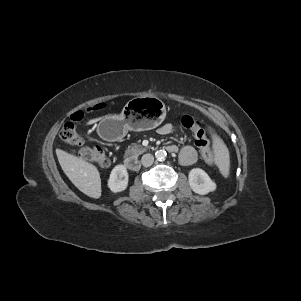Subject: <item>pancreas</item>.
Returning a JSON list of instances; mask_svg holds the SVG:
<instances>
[{"label": "pancreas", "instance_id": "obj_1", "mask_svg": "<svg viewBox=\"0 0 301 301\" xmlns=\"http://www.w3.org/2000/svg\"><path fill=\"white\" fill-rule=\"evenodd\" d=\"M145 151H146V149L144 147H142V145L132 144L125 151V155L126 156H129V155L138 156V155L144 153Z\"/></svg>", "mask_w": 301, "mask_h": 301}]
</instances>
